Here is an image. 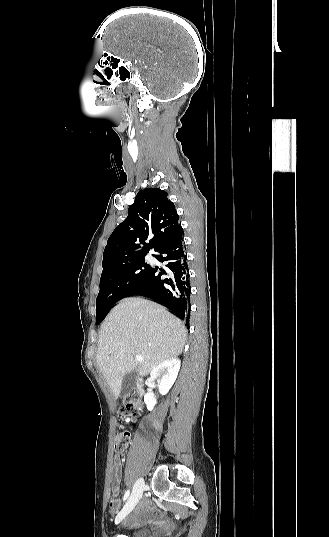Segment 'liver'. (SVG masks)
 Here are the masks:
<instances>
[{
  "label": "liver",
  "instance_id": "6515ba94",
  "mask_svg": "<svg viewBox=\"0 0 329 537\" xmlns=\"http://www.w3.org/2000/svg\"><path fill=\"white\" fill-rule=\"evenodd\" d=\"M186 337L183 322L163 306L142 298L123 299L101 325L96 355L114 397L120 395L125 374L137 367L138 374L146 376L160 363L180 355Z\"/></svg>",
  "mask_w": 329,
  "mask_h": 537
}]
</instances>
